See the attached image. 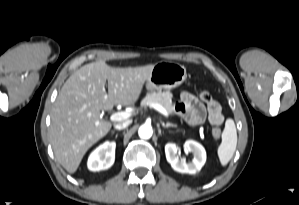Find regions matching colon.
<instances>
[{"mask_svg": "<svg viewBox=\"0 0 299 205\" xmlns=\"http://www.w3.org/2000/svg\"><path fill=\"white\" fill-rule=\"evenodd\" d=\"M200 98L203 101H210L211 99V95L208 91L204 90L200 93ZM212 135L215 139H219L221 137V129L218 126V124H216L213 129H212Z\"/></svg>", "mask_w": 299, "mask_h": 205, "instance_id": "obj_1", "label": "colon"}]
</instances>
